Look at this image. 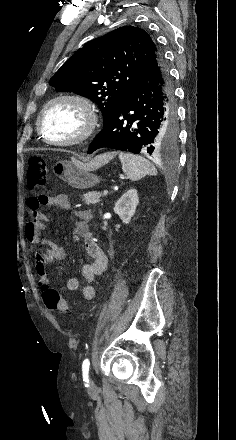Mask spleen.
<instances>
[{
  "label": "spleen",
  "mask_w": 236,
  "mask_h": 440,
  "mask_svg": "<svg viewBox=\"0 0 236 440\" xmlns=\"http://www.w3.org/2000/svg\"><path fill=\"white\" fill-rule=\"evenodd\" d=\"M122 170L131 181H138L146 175H155L154 165L142 156L131 153H119Z\"/></svg>",
  "instance_id": "spleen-1"
}]
</instances>
